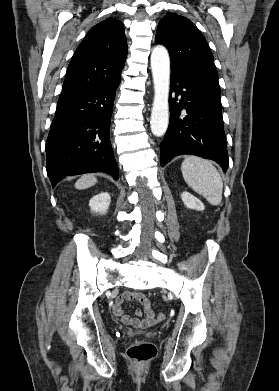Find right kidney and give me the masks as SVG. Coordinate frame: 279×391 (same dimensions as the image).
Instances as JSON below:
<instances>
[{"instance_id": "1", "label": "right kidney", "mask_w": 279, "mask_h": 391, "mask_svg": "<svg viewBox=\"0 0 279 391\" xmlns=\"http://www.w3.org/2000/svg\"><path fill=\"white\" fill-rule=\"evenodd\" d=\"M111 197L107 192H102L95 195L89 201V206L92 212L105 214L109 208Z\"/></svg>"}]
</instances>
